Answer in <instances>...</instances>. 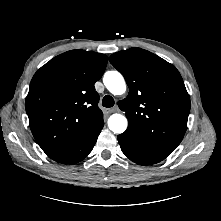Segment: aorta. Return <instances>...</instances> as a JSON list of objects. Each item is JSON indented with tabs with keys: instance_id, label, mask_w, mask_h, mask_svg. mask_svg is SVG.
<instances>
[{
	"instance_id": "1",
	"label": "aorta",
	"mask_w": 221,
	"mask_h": 221,
	"mask_svg": "<svg viewBox=\"0 0 221 221\" xmlns=\"http://www.w3.org/2000/svg\"><path fill=\"white\" fill-rule=\"evenodd\" d=\"M105 87L113 95H122L126 92V83L118 71H108L104 74ZM127 118L121 114H113L108 119V127L115 134H121L127 129Z\"/></svg>"
}]
</instances>
